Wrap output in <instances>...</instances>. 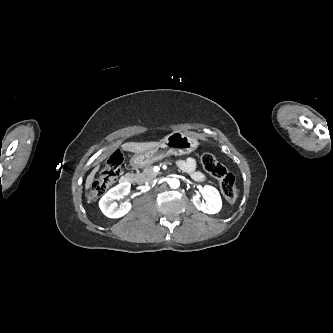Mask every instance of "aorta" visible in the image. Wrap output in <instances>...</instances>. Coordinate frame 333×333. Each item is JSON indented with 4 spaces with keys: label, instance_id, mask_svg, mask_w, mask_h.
<instances>
[{
    "label": "aorta",
    "instance_id": "1",
    "mask_svg": "<svg viewBox=\"0 0 333 333\" xmlns=\"http://www.w3.org/2000/svg\"><path fill=\"white\" fill-rule=\"evenodd\" d=\"M168 184L172 189H177L180 186V181L177 178H171L169 179Z\"/></svg>",
    "mask_w": 333,
    "mask_h": 333
}]
</instances>
